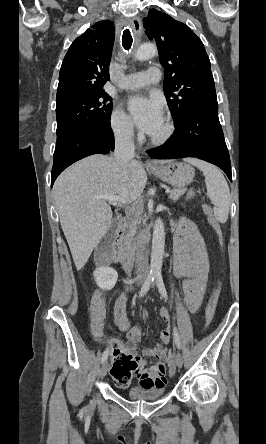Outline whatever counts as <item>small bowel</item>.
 Listing matches in <instances>:
<instances>
[{
	"instance_id": "1",
	"label": "small bowel",
	"mask_w": 266,
	"mask_h": 444,
	"mask_svg": "<svg viewBox=\"0 0 266 444\" xmlns=\"http://www.w3.org/2000/svg\"><path fill=\"white\" fill-rule=\"evenodd\" d=\"M174 274L183 281L184 302L191 313H196L203 302L208 283L209 260L200 233L195 225L181 219L175 225V252L173 257ZM128 301L122 294L115 302L113 320L117 327L126 333L127 341L107 339L103 332L106 315V297L102 290H96L90 304V331L97 341H109L111 344L112 367L110 374L118 388L126 389L131 385L135 376L139 386L145 389L160 388L166 385L167 349L164 345L170 342V317L166 308L160 309V316L166 327L160 331L159 344L150 350L156 358L151 369L145 368V363L137 355V344L142 338V330L132 326L127 319L125 307Z\"/></svg>"
}]
</instances>
